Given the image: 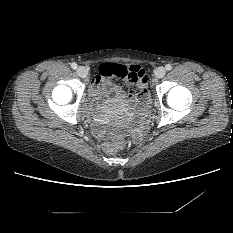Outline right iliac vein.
Returning a JSON list of instances; mask_svg holds the SVG:
<instances>
[{"label":"right iliac vein","mask_w":233,"mask_h":233,"mask_svg":"<svg viewBox=\"0 0 233 233\" xmlns=\"http://www.w3.org/2000/svg\"><path fill=\"white\" fill-rule=\"evenodd\" d=\"M76 73L78 74V76H80L81 78H85L87 76V70L84 66H79L76 69Z\"/></svg>","instance_id":"obj_1"}]
</instances>
